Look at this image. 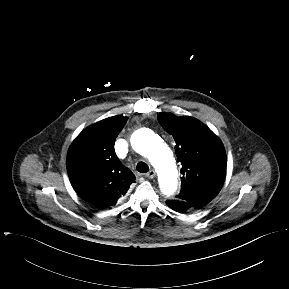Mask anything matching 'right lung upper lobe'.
Segmentation results:
<instances>
[{
	"label": "right lung upper lobe",
	"mask_w": 289,
	"mask_h": 289,
	"mask_svg": "<svg viewBox=\"0 0 289 289\" xmlns=\"http://www.w3.org/2000/svg\"><path fill=\"white\" fill-rule=\"evenodd\" d=\"M126 121V117L114 116L89 126L68 151L67 170L73 188L82 199L103 209L115 205L135 181L114 150Z\"/></svg>",
	"instance_id": "1"
}]
</instances>
